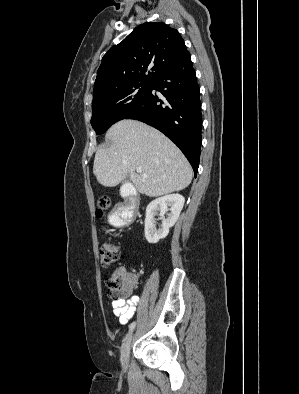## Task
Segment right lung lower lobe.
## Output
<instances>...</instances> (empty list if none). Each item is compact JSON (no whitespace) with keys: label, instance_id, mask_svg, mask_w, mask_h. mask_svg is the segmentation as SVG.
I'll return each mask as SVG.
<instances>
[{"label":"right lung lower lobe","instance_id":"98d812e1","mask_svg":"<svg viewBox=\"0 0 299 394\" xmlns=\"http://www.w3.org/2000/svg\"><path fill=\"white\" fill-rule=\"evenodd\" d=\"M157 90L160 94L152 92ZM124 119L155 127L184 153L197 174L201 149L199 86L188 53L156 77L142 102Z\"/></svg>","mask_w":299,"mask_h":394}]
</instances>
